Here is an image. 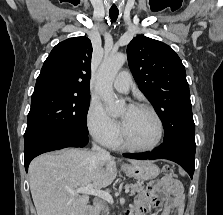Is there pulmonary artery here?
I'll return each instance as SVG.
<instances>
[{"label":"pulmonary artery","instance_id":"pulmonary-artery-1","mask_svg":"<svg viewBox=\"0 0 223 215\" xmlns=\"http://www.w3.org/2000/svg\"><path fill=\"white\" fill-rule=\"evenodd\" d=\"M132 84V78L128 73H120L113 81L114 88L119 92H127Z\"/></svg>","mask_w":223,"mask_h":215}]
</instances>
